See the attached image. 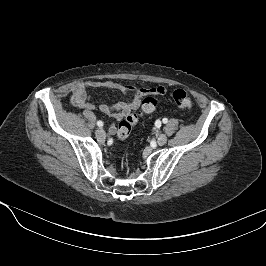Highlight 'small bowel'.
<instances>
[{
  "label": "small bowel",
  "instance_id": "c3829d8e",
  "mask_svg": "<svg viewBox=\"0 0 266 266\" xmlns=\"http://www.w3.org/2000/svg\"><path fill=\"white\" fill-rule=\"evenodd\" d=\"M105 88L110 90H118L124 94L130 93L131 98L127 101H121L114 106H110L105 103H101L98 109L105 115L120 121L124 117L130 115L133 111L138 109L141 104V99L147 95H163L166 93V89L162 86L153 88H141L137 89L132 86H128L113 80L107 81H93L85 80L75 84L72 88V104L81 110L93 111L96 106L90 102V96L87 92L88 89ZM111 133L116 132L115 124L109 127Z\"/></svg>",
  "mask_w": 266,
  "mask_h": 266
}]
</instances>
